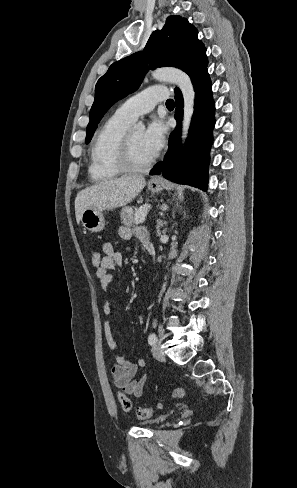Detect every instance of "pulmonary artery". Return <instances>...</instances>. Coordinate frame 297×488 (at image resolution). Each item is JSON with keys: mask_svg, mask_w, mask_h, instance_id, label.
Masks as SVG:
<instances>
[{"mask_svg": "<svg viewBox=\"0 0 297 488\" xmlns=\"http://www.w3.org/2000/svg\"><path fill=\"white\" fill-rule=\"evenodd\" d=\"M168 98V91L162 86H152L135 94L121 104L115 114L130 122L150 112L154 106Z\"/></svg>", "mask_w": 297, "mask_h": 488, "instance_id": "pulmonary-artery-1", "label": "pulmonary artery"}]
</instances>
